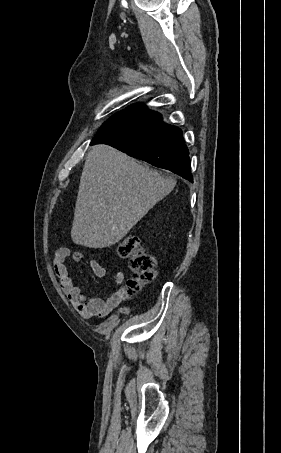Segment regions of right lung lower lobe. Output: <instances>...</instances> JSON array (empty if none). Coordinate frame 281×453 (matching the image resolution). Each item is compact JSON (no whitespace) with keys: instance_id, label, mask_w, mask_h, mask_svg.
Segmentation results:
<instances>
[{"instance_id":"right-lung-lower-lobe-1","label":"right lung lower lobe","mask_w":281,"mask_h":453,"mask_svg":"<svg viewBox=\"0 0 281 453\" xmlns=\"http://www.w3.org/2000/svg\"><path fill=\"white\" fill-rule=\"evenodd\" d=\"M94 144H108L193 182L181 130L164 123L159 113L144 104L131 105L109 118L93 138Z\"/></svg>"}]
</instances>
